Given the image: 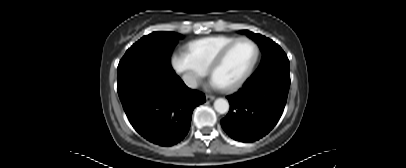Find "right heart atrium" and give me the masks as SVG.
Returning <instances> with one entry per match:
<instances>
[{"label": "right heart atrium", "instance_id": "d8ad5b80", "mask_svg": "<svg viewBox=\"0 0 406 168\" xmlns=\"http://www.w3.org/2000/svg\"><path fill=\"white\" fill-rule=\"evenodd\" d=\"M171 64L184 83L190 88L196 87L200 79L206 75V70L200 68L184 51L173 53Z\"/></svg>", "mask_w": 406, "mask_h": 168}]
</instances>
